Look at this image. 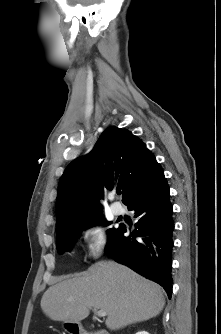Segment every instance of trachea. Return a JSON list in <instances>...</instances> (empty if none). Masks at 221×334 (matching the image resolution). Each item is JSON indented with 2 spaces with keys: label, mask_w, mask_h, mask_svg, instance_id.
I'll return each mask as SVG.
<instances>
[{
  "label": "trachea",
  "mask_w": 221,
  "mask_h": 334,
  "mask_svg": "<svg viewBox=\"0 0 221 334\" xmlns=\"http://www.w3.org/2000/svg\"><path fill=\"white\" fill-rule=\"evenodd\" d=\"M117 194L120 195V194H121V191H117Z\"/></svg>",
  "instance_id": "1"
}]
</instances>
